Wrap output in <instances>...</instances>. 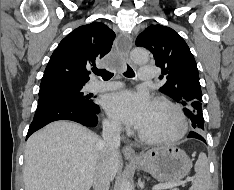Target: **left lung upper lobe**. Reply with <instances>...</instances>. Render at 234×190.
<instances>
[{
    "label": "left lung upper lobe",
    "instance_id": "5c2ea615",
    "mask_svg": "<svg viewBox=\"0 0 234 190\" xmlns=\"http://www.w3.org/2000/svg\"><path fill=\"white\" fill-rule=\"evenodd\" d=\"M136 45L145 47L162 69L164 80L160 91L181 103L197 132L204 130L202 92L194 56L184 39L170 27L150 25L136 39Z\"/></svg>",
    "mask_w": 234,
    "mask_h": 190
}]
</instances>
